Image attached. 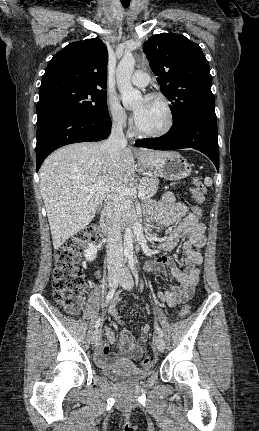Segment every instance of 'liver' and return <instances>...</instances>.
Listing matches in <instances>:
<instances>
[{"mask_svg":"<svg viewBox=\"0 0 259 431\" xmlns=\"http://www.w3.org/2000/svg\"><path fill=\"white\" fill-rule=\"evenodd\" d=\"M102 145L85 142L64 146L49 155L40 168V191L55 250L92 221L112 188L133 181L136 172L152 169L169 154L141 148L135 164L131 149L124 148L119 159L112 162ZM95 184L103 190L83 191Z\"/></svg>","mask_w":259,"mask_h":431,"instance_id":"liver-1","label":"liver"}]
</instances>
